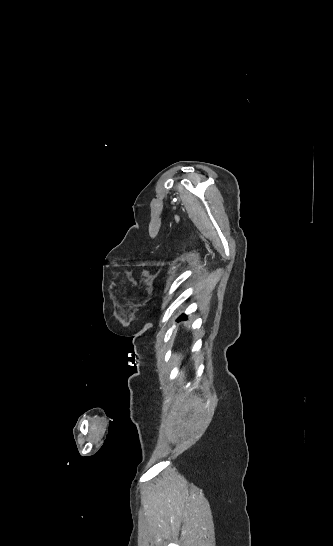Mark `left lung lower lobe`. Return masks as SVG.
I'll use <instances>...</instances> for the list:
<instances>
[{
	"mask_svg": "<svg viewBox=\"0 0 333 546\" xmlns=\"http://www.w3.org/2000/svg\"><path fill=\"white\" fill-rule=\"evenodd\" d=\"M187 316L185 314H182L179 318H178V321L179 320H182V319H185Z\"/></svg>",
	"mask_w": 333,
	"mask_h": 546,
	"instance_id": "left-lung-lower-lobe-1",
	"label": "left lung lower lobe"
}]
</instances>
